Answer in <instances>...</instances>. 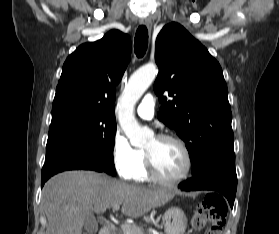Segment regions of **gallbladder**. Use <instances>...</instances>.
Wrapping results in <instances>:
<instances>
[{"instance_id":"obj_1","label":"gallbladder","mask_w":279,"mask_h":234,"mask_svg":"<svg viewBox=\"0 0 279 234\" xmlns=\"http://www.w3.org/2000/svg\"><path fill=\"white\" fill-rule=\"evenodd\" d=\"M84 227L90 234H95L97 232L98 230L97 221L92 214L86 216Z\"/></svg>"}]
</instances>
